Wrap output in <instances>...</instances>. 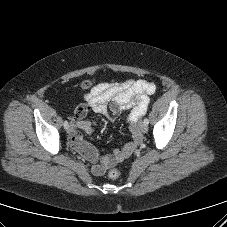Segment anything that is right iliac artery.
Instances as JSON below:
<instances>
[{
  "mask_svg": "<svg viewBox=\"0 0 227 227\" xmlns=\"http://www.w3.org/2000/svg\"><path fill=\"white\" fill-rule=\"evenodd\" d=\"M63 125H64V128H65V129H67V128L69 127V124H68L67 121H64V124H63Z\"/></svg>",
  "mask_w": 227,
  "mask_h": 227,
  "instance_id": "right-iliac-artery-1",
  "label": "right iliac artery"
}]
</instances>
